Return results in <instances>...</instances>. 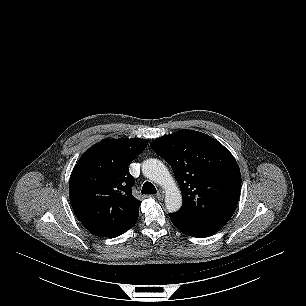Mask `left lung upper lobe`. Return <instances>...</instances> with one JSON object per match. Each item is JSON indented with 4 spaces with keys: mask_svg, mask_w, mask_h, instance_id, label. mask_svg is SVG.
Instances as JSON below:
<instances>
[{
    "mask_svg": "<svg viewBox=\"0 0 306 306\" xmlns=\"http://www.w3.org/2000/svg\"><path fill=\"white\" fill-rule=\"evenodd\" d=\"M150 146L173 169L183 197L177 213L193 221L225 225L241 191L240 170L230 151L193 130L157 138Z\"/></svg>",
    "mask_w": 306,
    "mask_h": 306,
    "instance_id": "5c2ea615",
    "label": "left lung upper lobe"
}]
</instances>
